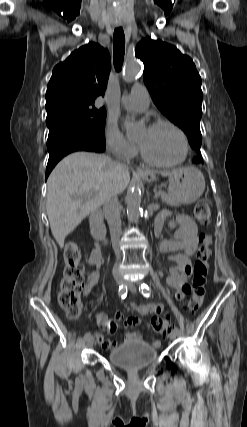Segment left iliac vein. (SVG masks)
Returning a JSON list of instances; mask_svg holds the SVG:
<instances>
[{
    "label": "left iliac vein",
    "instance_id": "1",
    "mask_svg": "<svg viewBox=\"0 0 247 427\" xmlns=\"http://www.w3.org/2000/svg\"><path fill=\"white\" fill-rule=\"evenodd\" d=\"M124 284L132 293H137V287L132 281H124ZM178 334H179V331L172 330L169 333V338L171 340H174L178 336Z\"/></svg>",
    "mask_w": 247,
    "mask_h": 427
}]
</instances>
